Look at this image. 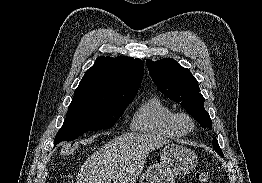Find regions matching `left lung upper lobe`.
Listing matches in <instances>:
<instances>
[{"label": "left lung upper lobe", "instance_id": "obj_1", "mask_svg": "<svg viewBox=\"0 0 262 183\" xmlns=\"http://www.w3.org/2000/svg\"><path fill=\"white\" fill-rule=\"evenodd\" d=\"M147 67L153 82L163 94L180 103L203 128L212 129L211 118L204 109V97L189 69L183 68L171 58L156 62L147 60ZM212 144L215 151L224 156L216 138H213Z\"/></svg>", "mask_w": 262, "mask_h": 183}]
</instances>
